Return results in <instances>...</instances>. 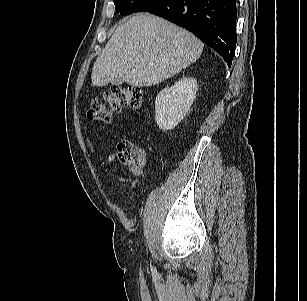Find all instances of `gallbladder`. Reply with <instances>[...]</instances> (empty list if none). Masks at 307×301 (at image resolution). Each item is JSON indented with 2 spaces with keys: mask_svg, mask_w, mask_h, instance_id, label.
Returning a JSON list of instances; mask_svg holds the SVG:
<instances>
[{
  "mask_svg": "<svg viewBox=\"0 0 307 301\" xmlns=\"http://www.w3.org/2000/svg\"><path fill=\"white\" fill-rule=\"evenodd\" d=\"M123 82H124V81H123L122 79L118 78V77H116V78H114L113 80H111V83H112L113 85H116V86L122 85Z\"/></svg>",
  "mask_w": 307,
  "mask_h": 301,
  "instance_id": "1",
  "label": "gallbladder"
}]
</instances>
